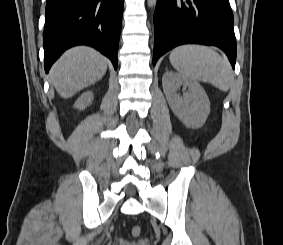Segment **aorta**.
<instances>
[{"label":"aorta","mask_w":283,"mask_h":245,"mask_svg":"<svg viewBox=\"0 0 283 245\" xmlns=\"http://www.w3.org/2000/svg\"><path fill=\"white\" fill-rule=\"evenodd\" d=\"M156 1H157V0H148V6H149L150 8H154L155 5H156Z\"/></svg>","instance_id":"762f6f07"}]
</instances>
